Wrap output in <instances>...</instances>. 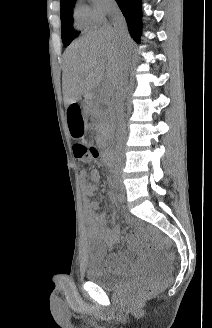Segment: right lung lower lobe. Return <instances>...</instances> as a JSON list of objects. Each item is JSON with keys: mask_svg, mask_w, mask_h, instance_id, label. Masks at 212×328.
<instances>
[{"mask_svg": "<svg viewBox=\"0 0 212 328\" xmlns=\"http://www.w3.org/2000/svg\"><path fill=\"white\" fill-rule=\"evenodd\" d=\"M116 2L126 19L130 35L136 42H139L141 35L140 0H116Z\"/></svg>", "mask_w": 212, "mask_h": 328, "instance_id": "98d812e1", "label": "right lung lower lobe"}]
</instances>
